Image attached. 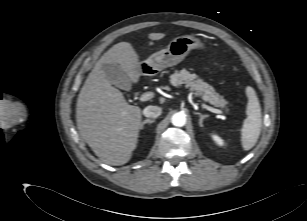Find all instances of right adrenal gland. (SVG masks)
I'll list each match as a JSON object with an SVG mask.
<instances>
[{
    "mask_svg": "<svg viewBox=\"0 0 307 221\" xmlns=\"http://www.w3.org/2000/svg\"><path fill=\"white\" fill-rule=\"evenodd\" d=\"M155 122V120L154 119H146V120H144L142 123H141V129H143V127H144V125L145 124H147V123H149V124H152V123H154Z\"/></svg>",
    "mask_w": 307,
    "mask_h": 221,
    "instance_id": "2a0ac1e0",
    "label": "right adrenal gland"
}]
</instances>
